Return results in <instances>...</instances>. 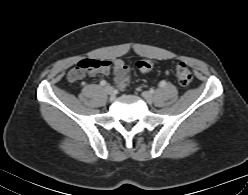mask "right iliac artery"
Masks as SVG:
<instances>
[{"label": "right iliac artery", "mask_w": 248, "mask_h": 195, "mask_svg": "<svg viewBox=\"0 0 248 195\" xmlns=\"http://www.w3.org/2000/svg\"><path fill=\"white\" fill-rule=\"evenodd\" d=\"M100 84H101V86H105L107 83H106L105 80H102V81L100 82Z\"/></svg>", "instance_id": "right-iliac-artery-1"}]
</instances>
